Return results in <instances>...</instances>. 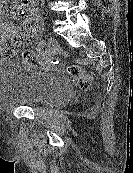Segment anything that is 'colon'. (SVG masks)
Here are the masks:
<instances>
[{"label": "colon", "instance_id": "colon-1", "mask_svg": "<svg viewBox=\"0 0 133 173\" xmlns=\"http://www.w3.org/2000/svg\"><path fill=\"white\" fill-rule=\"evenodd\" d=\"M24 40L14 37L8 40L2 48V54L10 57L18 55L22 59L33 62L38 59V55L33 52L23 50ZM68 75L77 83L81 89H89L94 84L93 76L78 65H70L67 67Z\"/></svg>", "mask_w": 133, "mask_h": 173}]
</instances>
